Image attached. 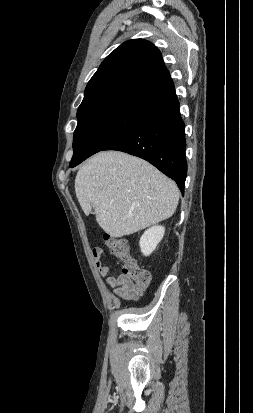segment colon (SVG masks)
Segmentation results:
<instances>
[{
    "label": "colon",
    "mask_w": 253,
    "mask_h": 413,
    "mask_svg": "<svg viewBox=\"0 0 253 413\" xmlns=\"http://www.w3.org/2000/svg\"><path fill=\"white\" fill-rule=\"evenodd\" d=\"M103 243L109 248L112 254L123 262V275L130 278L137 285H148L150 280L149 272L142 268L131 256L126 239L105 234L103 236Z\"/></svg>",
    "instance_id": "colon-1"
}]
</instances>
